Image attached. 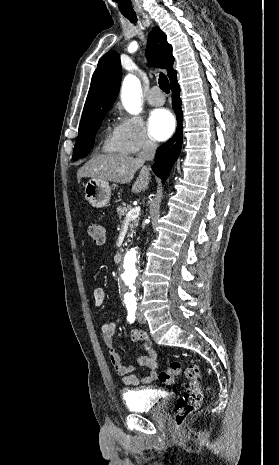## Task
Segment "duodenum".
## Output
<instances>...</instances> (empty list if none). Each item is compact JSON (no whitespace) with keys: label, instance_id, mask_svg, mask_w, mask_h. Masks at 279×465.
Here are the masks:
<instances>
[{"label":"duodenum","instance_id":"duodenum-1","mask_svg":"<svg viewBox=\"0 0 279 465\" xmlns=\"http://www.w3.org/2000/svg\"><path fill=\"white\" fill-rule=\"evenodd\" d=\"M123 256H124L123 250L118 251L114 256L115 263L117 264L121 263Z\"/></svg>","mask_w":279,"mask_h":465}]
</instances>
